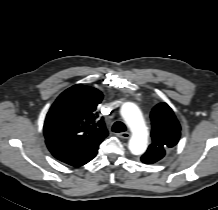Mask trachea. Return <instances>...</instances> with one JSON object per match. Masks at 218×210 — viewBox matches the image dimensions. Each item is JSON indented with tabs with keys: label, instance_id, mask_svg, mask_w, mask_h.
<instances>
[{
	"label": "trachea",
	"instance_id": "obj_1",
	"mask_svg": "<svg viewBox=\"0 0 218 210\" xmlns=\"http://www.w3.org/2000/svg\"><path fill=\"white\" fill-rule=\"evenodd\" d=\"M112 131L115 132V133L124 132V131H126V126L121 121H117V122L114 123V125L112 127Z\"/></svg>",
	"mask_w": 218,
	"mask_h": 210
}]
</instances>
